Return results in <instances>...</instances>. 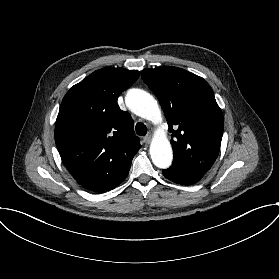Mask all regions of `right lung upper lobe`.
Returning a JSON list of instances; mask_svg holds the SVG:
<instances>
[{
  "label": "right lung upper lobe",
  "instance_id": "obj_1",
  "mask_svg": "<svg viewBox=\"0 0 279 279\" xmlns=\"http://www.w3.org/2000/svg\"><path fill=\"white\" fill-rule=\"evenodd\" d=\"M138 77L124 68L99 69L63 98L55 143L65 167L89 191L104 193L122 183L141 147L133 120L117 104Z\"/></svg>",
  "mask_w": 279,
  "mask_h": 279
}]
</instances>
